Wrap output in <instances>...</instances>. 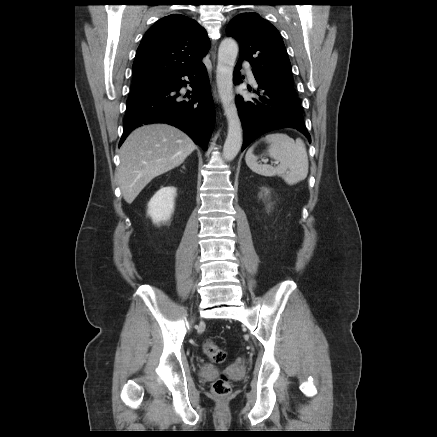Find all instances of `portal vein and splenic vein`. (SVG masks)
I'll return each instance as SVG.
<instances>
[{"label": "portal vein and splenic vein", "instance_id": "obj_1", "mask_svg": "<svg viewBox=\"0 0 437 437\" xmlns=\"http://www.w3.org/2000/svg\"><path fill=\"white\" fill-rule=\"evenodd\" d=\"M265 162H267V160H265ZM275 164H278V162H274Z\"/></svg>", "mask_w": 437, "mask_h": 437}]
</instances>
